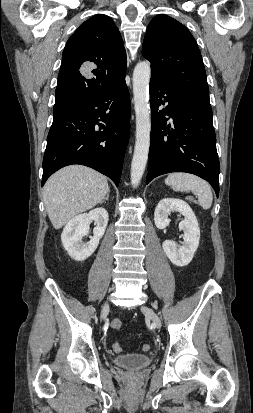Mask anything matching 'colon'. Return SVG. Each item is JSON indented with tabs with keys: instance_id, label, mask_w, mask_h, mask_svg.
Instances as JSON below:
<instances>
[{
	"instance_id": "colon-1",
	"label": "colon",
	"mask_w": 253,
	"mask_h": 413,
	"mask_svg": "<svg viewBox=\"0 0 253 413\" xmlns=\"http://www.w3.org/2000/svg\"><path fill=\"white\" fill-rule=\"evenodd\" d=\"M110 325H111L112 329L119 330L122 327V322L119 319H114L111 322ZM113 349L117 352H120L122 350V347L118 343H115L113 345ZM142 349H143V351H149L151 349V345L150 344H144L142 346Z\"/></svg>"
}]
</instances>
